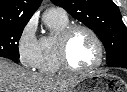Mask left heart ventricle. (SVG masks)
I'll return each mask as SVG.
<instances>
[{
    "instance_id": "b2bd125f",
    "label": "left heart ventricle",
    "mask_w": 127,
    "mask_h": 92,
    "mask_svg": "<svg viewBox=\"0 0 127 92\" xmlns=\"http://www.w3.org/2000/svg\"><path fill=\"white\" fill-rule=\"evenodd\" d=\"M68 55L74 67L84 69L96 62L98 50L94 40L87 32L77 31L70 40Z\"/></svg>"
}]
</instances>
